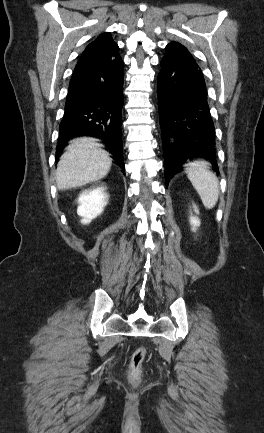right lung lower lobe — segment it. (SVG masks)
<instances>
[{"instance_id": "98d812e1", "label": "right lung lower lobe", "mask_w": 264, "mask_h": 433, "mask_svg": "<svg viewBox=\"0 0 264 433\" xmlns=\"http://www.w3.org/2000/svg\"><path fill=\"white\" fill-rule=\"evenodd\" d=\"M123 61L97 54L81 56L70 80L65 112L59 125L58 156L65 143L79 135L104 140L117 164L124 168L121 113Z\"/></svg>"}]
</instances>
